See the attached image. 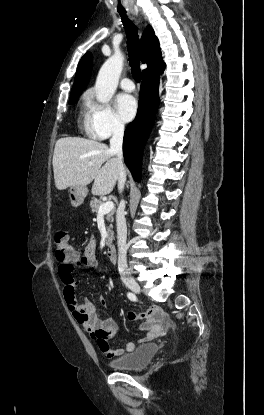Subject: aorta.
Listing matches in <instances>:
<instances>
[{
    "label": "aorta",
    "mask_w": 264,
    "mask_h": 415,
    "mask_svg": "<svg viewBox=\"0 0 264 415\" xmlns=\"http://www.w3.org/2000/svg\"><path fill=\"white\" fill-rule=\"evenodd\" d=\"M124 56L115 52L102 65L95 84L96 98L101 103H107L112 98L118 85L123 68Z\"/></svg>",
    "instance_id": "aorta-1"
}]
</instances>
